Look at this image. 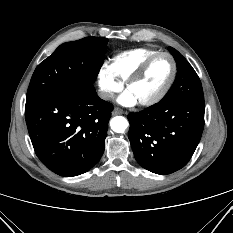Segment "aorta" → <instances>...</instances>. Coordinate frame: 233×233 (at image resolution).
Here are the masks:
<instances>
[{"instance_id": "obj_1", "label": "aorta", "mask_w": 233, "mask_h": 233, "mask_svg": "<svg viewBox=\"0 0 233 233\" xmlns=\"http://www.w3.org/2000/svg\"><path fill=\"white\" fill-rule=\"evenodd\" d=\"M128 125L127 119L123 116H116L110 121L111 129L116 133H124Z\"/></svg>"}]
</instances>
